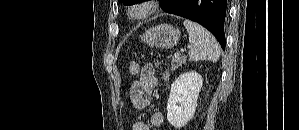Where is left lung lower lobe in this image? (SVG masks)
Returning a JSON list of instances; mask_svg holds the SVG:
<instances>
[{
	"mask_svg": "<svg viewBox=\"0 0 299 130\" xmlns=\"http://www.w3.org/2000/svg\"><path fill=\"white\" fill-rule=\"evenodd\" d=\"M162 9L198 22L208 29L225 50L224 22L227 0H165Z\"/></svg>",
	"mask_w": 299,
	"mask_h": 130,
	"instance_id": "0a47b994",
	"label": "left lung lower lobe"
}]
</instances>
